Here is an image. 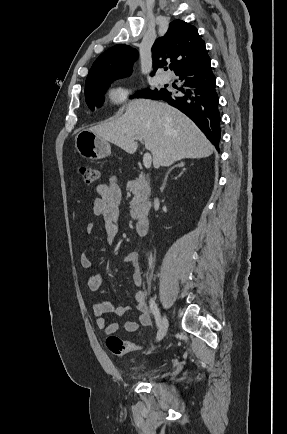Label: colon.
Wrapping results in <instances>:
<instances>
[{
    "label": "colon",
    "instance_id": "obj_1",
    "mask_svg": "<svg viewBox=\"0 0 287 434\" xmlns=\"http://www.w3.org/2000/svg\"><path fill=\"white\" fill-rule=\"evenodd\" d=\"M79 173L82 180L86 184L96 183L100 177V171L98 168L95 167L81 166L79 168ZM106 346L110 350V352L118 356L139 350L141 348L139 345L122 340L115 335H110L106 338Z\"/></svg>",
    "mask_w": 287,
    "mask_h": 434
}]
</instances>
